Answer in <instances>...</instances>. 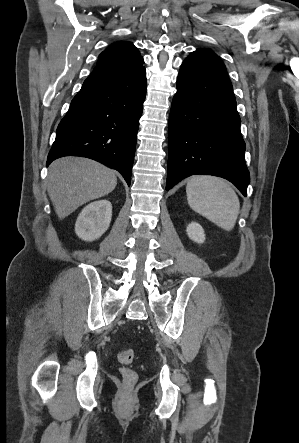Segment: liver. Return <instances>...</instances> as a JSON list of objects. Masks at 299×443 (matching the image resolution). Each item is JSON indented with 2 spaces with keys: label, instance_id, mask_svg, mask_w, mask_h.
Returning <instances> with one entry per match:
<instances>
[{
  "label": "liver",
  "instance_id": "liver-1",
  "mask_svg": "<svg viewBox=\"0 0 299 443\" xmlns=\"http://www.w3.org/2000/svg\"><path fill=\"white\" fill-rule=\"evenodd\" d=\"M117 178L106 166L82 157L68 156L49 167L47 191L59 219L83 204L112 192Z\"/></svg>",
  "mask_w": 299,
  "mask_h": 443
}]
</instances>
